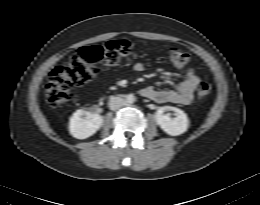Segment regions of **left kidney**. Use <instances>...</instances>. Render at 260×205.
<instances>
[{
    "label": "left kidney",
    "mask_w": 260,
    "mask_h": 205,
    "mask_svg": "<svg viewBox=\"0 0 260 205\" xmlns=\"http://www.w3.org/2000/svg\"><path fill=\"white\" fill-rule=\"evenodd\" d=\"M171 109L175 112V118H170L164 112ZM156 123L161 129L171 136H178L187 131L189 120L187 115L180 109L174 107H160L155 114Z\"/></svg>",
    "instance_id": "left-kidney-1"
}]
</instances>
